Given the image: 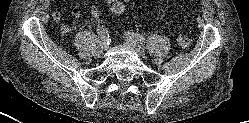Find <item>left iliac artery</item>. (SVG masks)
I'll return each instance as SVG.
<instances>
[{
	"label": "left iliac artery",
	"mask_w": 249,
	"mask_h": 123,
	"mask_svg": "<svg viewBox=\"0 0 249 123\" xmlns=\"http://www.w3.org/2000/svg\"><path fill=\"white\" fill-rule=\"evenodd\" d=\"M130 37L136 39L140 44H143L145 42V38L144 36L138 34V33H134V32H128L127 33Z\"/></svg>",
	"instance_id": "44dca946"
}]
</instances>
